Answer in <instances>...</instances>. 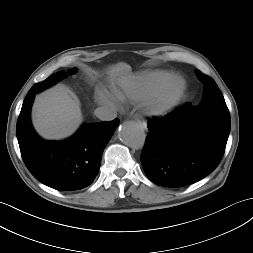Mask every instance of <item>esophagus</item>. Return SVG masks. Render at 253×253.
<instances>
[{"label":"esophagus","mask_w":253,"mask_h":253,"mask_svg":"<svg viewBox=\"0 0 253 253\" xmlns=\"http://www.w3.org/2000/svg\"><path fill=\"white\" fill-rule=\"evenodd\" d=\"M135 119L137 122H139L141 124L142 128H144V129L147 128V123L141 117L136 116Z\"/></svg>","instance_id":"obj_1"}]
</instances>
